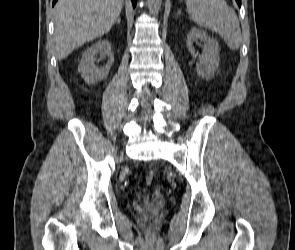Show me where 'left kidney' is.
<instances>
[{"label": "left kidney", "mask_w": 295, "mask_h": 250, "mask_svg": "<svg viewBox=\"0 0 295 250\" xmlns=\"http://www.w3.org/2000/svg\"><path fill=\"white\" fill-rule=\"evenodd\" d=\"M200 39L204 43V51L199 58L197 74L201 77L211 78L219 66V46L218 42L208 36L204 31L193 27L187 35V47L194 55L193 41Z\"/></svg>", "instance_id": "1"}]
</instances>
